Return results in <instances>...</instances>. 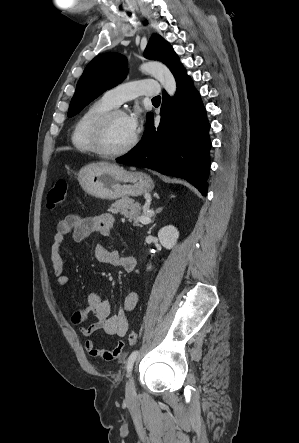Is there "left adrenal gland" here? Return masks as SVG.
Returning <instances> with one entry per match:
<instances>
[{
    "label": "left adrenal gland",
    "mask_w": 299,
    "mask_h": 443,
    "mask_svg": "<svg viewBox=\"0 0 299 443\" xmlns=\"http://www.w3.org/2000/svg\"><path fill=\"white\" fill-rule=\"evenodd\" d=\"M161 210H162V208L156 210V214L159 213V212H161Z\"/></svg>",
    "instance_id": "obj_1"
}]
</instances>
